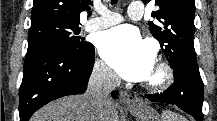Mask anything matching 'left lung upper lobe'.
I'll return each instance as SVG.
<instances>
[{"label":"left lung upper lobe","instance_id":"left-lung-upper-lobe-1","mask_svg":"<svg viewBox=\"0 0 217 121\" xmlns=\"http://www.w3.org/2000/svg\"><path fill=\"white\" fill-rule=\"evenodd\" d=\"M145 4L151 0H142ZM159 10L152 12L160 26L149 22L152 35L174 68L188 64L198 68L194 50L195 0H155Z\"/></svg>","mask_w":217,"mask_h":121}]
</instances>
